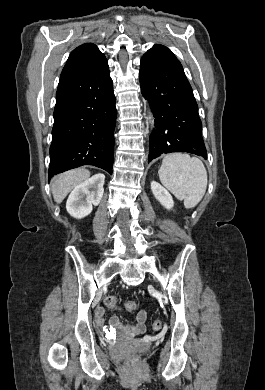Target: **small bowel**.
<instances>
[{"instance_id":"obj_1","label":"small bowel","mask_w":265,"mask_h":390,"mask_svg":"<svg viewBox=\"0 0 265 390\" xmlns=\"http://www.w3.org/2000/svg\"><path fill=\"white\" fill-rule=\"evenodd\" d=\"M105 311L103 308H98L96 313L97 323L100 326L104 324ZM147 313L145 310H140L136 315L137 323L134 326H123L117 317L110 319L111 326L113 328H121L126 330L129 334L138 335L142 334L146 330Z\"/></svg>"}]
</instances>
